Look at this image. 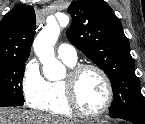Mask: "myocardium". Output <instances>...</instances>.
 Segmentation results:
<instances>
[{
  "label": "myocardium",
  "mask_w": 145,
  "mask_h": 124,
  "mask_svg": "<svg viewBox=\"0 0 145 124\" xmlns=\"http://www.w3.org/2000/svg\"><path fill=\"white\" fill-rule=\"evenodd\" d=\"M86 70L96 71L103 79L106 86V90H107V99L104 105L100 109L94 112H88L82 107L81 103L79 102L77 91H76V84H77L78 78ZM63 81H64L66 98H67L68 104L73 110V112H75L76 114L80 116L90 117V118L101 116L109 109V107L113 103L114 89H113L111 79L106 73V71L98 65L90 64V63H82V64L74 65L73 67H71V69L68 72L67 77Z\"/></svg>",
  "instance_id": "obj_1"
}]
</instances>
